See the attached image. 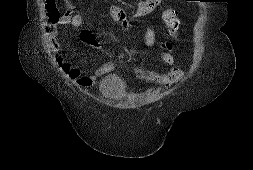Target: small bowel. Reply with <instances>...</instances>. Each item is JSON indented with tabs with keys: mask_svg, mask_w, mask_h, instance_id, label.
I'll return each instance as SVG.
<instances>
[{
	"mask_svg": "<svg viewBox=\"0 0 253 170\" xmlns=\"http://www.w3.org/2000/svg\"><path fill=\"white\" fill-rule=\"evenodd\" d=\"M50 5L46 3V9L48 10ZM154 11H160L162 13V18L166 26L169 28L171 33H176L178 26H174L173 18L179 23V19L176 16L174 9L166 6L165 0H144L140 2L133 13L129 14L119 6H111L110 16L114 22L120 24L124 29H128L132 23V17H142L151 14ZM83 24V17L81 15H69L65 14L60 17V19L51 26L49 31V39L51 46L56 52V60L61 69V71L66 74L70 79H72L78 86L81 87H91L96 83L98 77L109 73L113 70L114 64L109 62L106 63L95 70L92 75H85L82 69L75 67L70 61H68L60 49V44L58 42V27L61 25H70L74 28H80ZM81 41L84 43L94 46L96 40L91 32L81 31L79 35ZM143 42L146 46H152L156 42V33L154 29L149 28L143 37ZM162 60L163 62L170 66L171 69L167 73H159L155 71L144 70L143 68H135V74L138 78L161 85H171L184 76L183 70L175 64L174 57L171 53L173 49V44L171 41L163 42Z\"/></svg>",
	"mask_w": 253,
	"mask_h": 170,
	"instance_id": "obj_1",
	"label": "small bowel"
}]
</instances>
